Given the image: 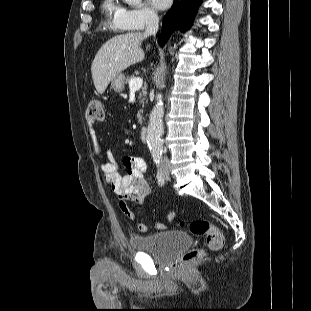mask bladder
I'll list each match as a JSON object with an SVG mask.
<instances>
[{"mask_svg":"<svg viewBox=\"0 0 311 311\" xmlns=\"http://www.w3.org/2000/svg\"><path fill=\"white\" fill-rule=\"evenodd\" d=\"M131 246L139 252L150 253L161 262H168L176 254L190 246L188 234L179 230L162 231L152 234H135L130 238Z\"/></svg>","mask_w":311,"mask_h":311,"instance_id":"bladder-1","label":"bladder"}]
</instances>
